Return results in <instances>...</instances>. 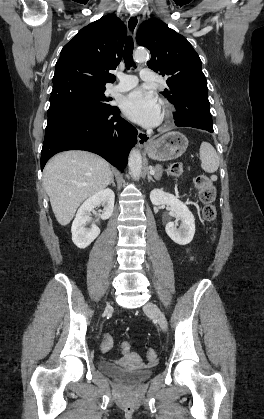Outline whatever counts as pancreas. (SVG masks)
Segmentation results:
<instances>
[{"mask_svg":"<svg viewBox=\"0 0 264 419\" xmlns=\"http://www.w3.org/2000/svg\"><path fill=\"white\" fill-rule=\"evenodd\" d=\"M153 170L155 171L154 173V177L158 180L161 178L162 173H163V168L160 165H157L153 168Z\"/></svg>","mask_w":264,"mask_h":419,"instance_id":"1","label":"pancreas"}]
</instances>
